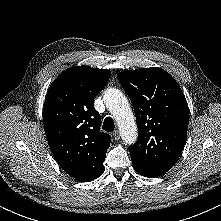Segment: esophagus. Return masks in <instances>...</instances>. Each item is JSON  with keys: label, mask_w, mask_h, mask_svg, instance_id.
Wrapping results in <instances>:
<instances>
[{"label": "esophagus", "mask_w": 221, "mask_h": 221, "mask_svg": "<svg viewBox=\"0 0 221 221\" xmlns=\"http://www.w3.org/2000/svg\"><path fill=\"white\" fill-rule=\"evenodd\" d=\"M113 137H114L115 140L120 139V134H119V131H118V130H116V131L113 133Z\"/></svg>", "instance_id": "34e87169"}]
</instances>
